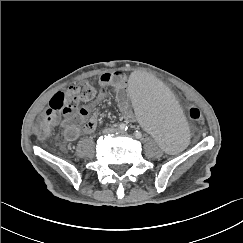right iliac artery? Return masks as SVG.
<instances>
[{
	"mask_svg": "<svg viewBox=\"0 0 243 243\" xmlns=\"http://www.w3.org/2000/svg\"><path fill=\"white\" fill-rule=\"evenodd\" d=\"M119 128H120L121 130H123V131H126V130L128 129L127 125L124 124V123H120V124H119Z\"/></svg>",
	"mask_w": 243,
	"mask_h": 243,
	"instance_id": "82829eb1",
	"label": "right iliac artery"
}]
</instances>
